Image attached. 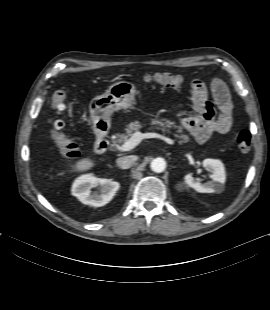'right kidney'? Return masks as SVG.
<instances>
[{
  "label": "right kidney",
  "instance_id": "1",
  "mask_svg": "<svg viewBox=\"0 0 270 310\" xmlns=\"http://www.w3.org/2000/svg\"><path fill=\"white\" fill-rule=\"evenodd\" d=\"M94 187H99V191L91 193V188ZM119 187V183L111 179L96 178L92 174H85L74 181L71 193L83 204L101 207L111 201Z\"/></svg>",
  "mask_w": 270,
  "mask_h": 310
}]
</instances>
